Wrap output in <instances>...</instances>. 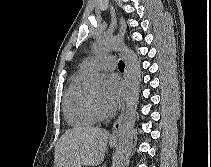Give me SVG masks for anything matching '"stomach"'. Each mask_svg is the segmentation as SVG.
<instances>
[{
    "label": "stomach",
    "mask_w": 211,
    "mask_h": 167,
    "mask_svg": "<svg viewBox=\"0 0 211 167\" xmlns=\"http://www.w3.org/2000/svg\"><path fill=\"white\" fill-rule=\"evenodd\" d=\"M111 145H115V144L111 142Z\"/></svg>",
    "instance_id": "stomach-1"
}]
</instances>
